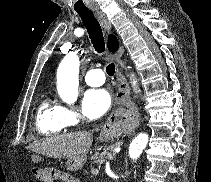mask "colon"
Returning a JSON list of instances; mask_svg holds the SVG:
<instances>
[{
  "mask_svg": "<svg viewBox=\"0 0 211 182\" xmlns=\"http://www.w3.org/2000/svg\"><path fill=\"white\" fill-rule=\"evenodd\" d=\"M41 171L43 173H41ZM36 176L45 182H54L56 180H67V174L56 169H43L36 172Z\"/></svg>",
  "mask_w": 211,
  "mask_h": 182,
  "instance_id": "obj_1",
  "label": "colon"
}]
</instances>
